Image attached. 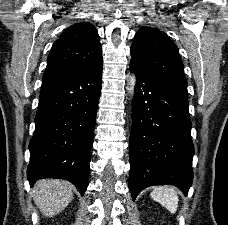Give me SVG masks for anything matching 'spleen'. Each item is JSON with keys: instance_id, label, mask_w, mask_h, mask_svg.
Returning <instances> with one entry per match:
<instances>
[{"instance_id": "1", "label": "spleen", "mask_w": 228, "mask_h": 225, "mask_svg": "<svg viewBox=\"0 0 228 225\" xmlns=\"http://www.w3.org/2000/svg\"><path fill=\"white\" fill-rule=\"evenodd\" d=\"M150 197L170 213H176L179 199L174 187H166V185L165 187H155L154 191L150 193Z\"/></svg>"}]
</instances>
